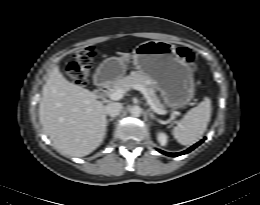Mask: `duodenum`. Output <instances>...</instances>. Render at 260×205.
Segmentation results:
<instances>
[{
    "instance_id": "duodenum-1",
    "label": "duodenum",
    "mask_w": 260,
    "mask_h": 205,
    "mask_svg": "<svg viewBox=\"0 0 260 205\" xmlns=\"http://www.w3.org/2000/svg\"><path fill=\"white\" fill-rule=\"evenodd\" d=\"M96 82H97V87L95 90V95L97 96L98 99H102L105 97L109 85L106 81L100 79L99 74L96 75Z\"/></svg>"
}]
</instances>
